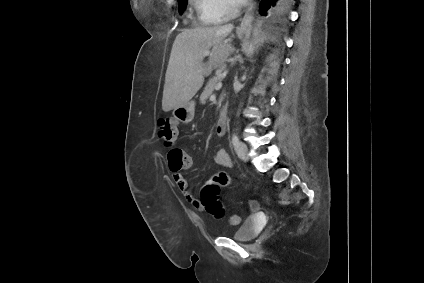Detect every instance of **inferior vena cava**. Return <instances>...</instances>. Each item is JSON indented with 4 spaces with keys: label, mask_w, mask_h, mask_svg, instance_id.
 <instances>
[{
    "label": "inferior vena cava",
    "mask_w": 424,
    "mask_h": 283,
    "mask_svg": "<svg viewBox=\"0 0 424 283\" xmlns=\"http://www.w3.org/2000/svg\"><path fill=\"white\" fill-rule=\"evenodd\" d=\"M234 13L235 14L239 13V8L238 7L234 9Z\"/></svg>",
    "instance_id": "602c4592"
}]
</instances>
